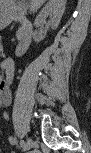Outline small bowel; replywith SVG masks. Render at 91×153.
Instances as JSON below:
<instances>
[{
  "instance_id": "obj_1",
  "label": "small bowel",
  "mask_w": 91,
  "mask_h": 153,
  "mask_svg": "<svg viewBox=\"0 0 91 153\" xmlns=\"http://www.w3.org/2000/svg\"><path fill=\"white\" fill-rule=\"evenodd\" d=\"M1 70L2 75L0 79V103L3 106H8L11 103L10 86L13 80L14 70L12 64L7 60L1 63ZM8 140L11 145L16 144L15 137L10 136Z\"/></svg>"
}]
</instances>
